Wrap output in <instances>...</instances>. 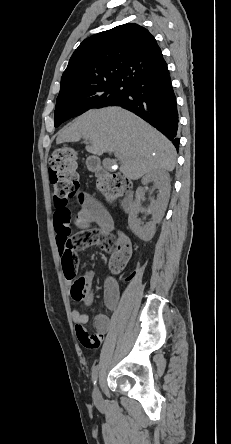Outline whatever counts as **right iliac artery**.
Listing matches in <instances>:
<instances>
[{"label": "right iliac artery", "mask_w": 231, "mask_h": 444, "mask_svg": "<svg viewBox=\"0 0 231 444\" xmlns=\"http://www.w3.org/2000/svg\"><path fill=\"white\" fill-rule=\"evenodd\" d=\"M97 376H98V365H95L92 369V381H93L94 385L97 382Z\"/></svg>", "instance_id": "1"}]
</instances>
